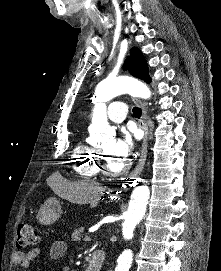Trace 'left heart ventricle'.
<instances>
[{"instance_id":"obj_1","label":"left heart ventricle","mask_w":221,"mask_h":271,"mask_svg":"<svg viewBox=\"0 0 221 271\" xmlns=\"http://www.w3.org/2000/svg\"><path fill=\"white\" fill-rule=\"evenodd\" d=\"M105 165H108L109 168H114L115 174H118L117 168L123 167L120 160H105Z\"/></svg>"}]
</instances>
